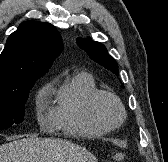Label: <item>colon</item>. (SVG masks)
I'll list each match as a JSON object with an SVG mask.
<instances>
[{
  "label": "colon",
  "mask_w": 168,
  "mask_h": 162,
  "mask_svg": "<svg viewBox=\"0 0 168 162\" xmlns=\"http://www.w3.org/2000/svg\"><path fill=\"white\" fill-rule=\"evenodd\" d=\"M113 160L115 162H124L125 161V156L122 153H116L113 155Z\"/></svg>",
  "instance_id": "colon-1"
}]
</instances>
